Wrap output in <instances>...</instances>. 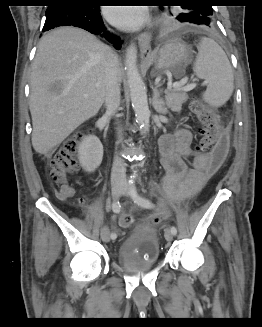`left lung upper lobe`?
I'll use <instances>...</instances> for the list:
<instances>
[{"label":"left lung upper lobe","mask_w":262,"mask_h":327,"mask_svg":"<svg viewBox=\"0 0 262 327\" xmlns=\"http://www.w3.org/2000/svg\"><path fill=\"white\" fill-rule=\"evenodd\" d=\"M181 2L184 4L179 6L180 9L178 11L161 7L163 16L168 24L174 27L188 26L202 29H212L215 26L212 6L194 4V1L182 0Z\"/></svg>","instance_id":"1"}]
</instances>
